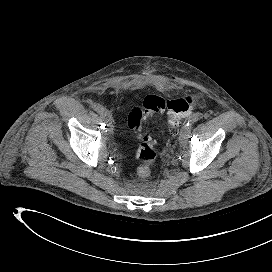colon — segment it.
I'll use <instances>...</instances> for the list:
<instances>
[{"label": "colon", "mask_w": 272, "mask_h": 272, "mask_svg": "<svg viewBox=\"0 0 272 272\" xmlns=\"http://www.w3.org/2000/svg\"><path fill=\"white\" fill-rule=\"evenodd\" d=\"M186 94L174 99H166L157 95H148L141 105L134 107L128 115V126L134 131L140 144L135 153L138 162V174L147 177L151 166L158 156V149L149 133V121L154 114L166 112L169 126L173 132L179 127L181 120L187 117L191 109L201 102Z\"/></svg>", "instance_id": "1"}]
</instances>
